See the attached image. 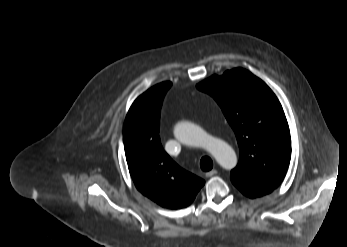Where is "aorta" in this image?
<instances>
[{"instance_id":"aorta-1","label":"aorta","mask_w":347,"mask_h":247,"mask_svg":"<svg viewBox=\"0 0 347 247\" xmlns=\"http://www.w3.org/2000/svg\"><path fill=\"white\" fill-rule=\"evenodd\" d=\"M174 136L185 145L206 149L224 169L230 170L237 165L236 153L228 143L208 135L194 123L187 121L177 123L174 128Z\"/></svg>"}]
</instances>
